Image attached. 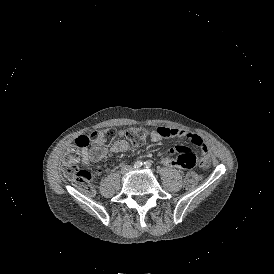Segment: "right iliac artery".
<instances>
[{"mask_svg":"<svg viewBox=\"0 0 274 274\" xmlns=\"http://www.w3.org/2000/svg\"><path fill=\"white\" fill-rule=\"evenodd\" d=\"M142 165H143V163H142L141 161H136V162L134 163V168L138 169V168H140Z\"/></svg>","mask_w":274,"mask_h":274,"instance_id":"right-iliac-artery-1","label":"right iliac artery"}]
</instances>
